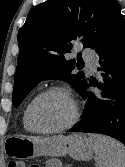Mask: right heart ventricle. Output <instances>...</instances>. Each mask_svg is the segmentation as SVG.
Returning a JSON list of instances; mask_svg holds the SVG:
<instances>
[{
    "instance_id": "right-heart-ventricle-1",
    "label": "right heart ventricle",
    "mask_w": 125,
    "mask_h": 167,
    "mask_svg": "<svg viewBox=\"0 0 125 167\" xmlns=\"http://www.w3.org/2000/svg\"><path fill=\"white\" fill-rule=\"evenodd\" d=\"M28 105L25 107V109L23 111L22 124H23V127H24L25 130L31 131V128H30L28 120H27V108H28Z\"/></svg>"
}]
</instances>
